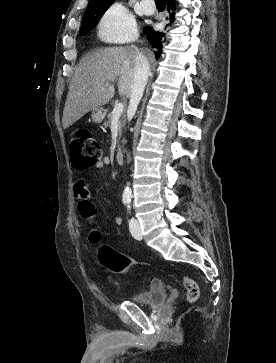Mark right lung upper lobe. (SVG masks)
Here are the masks:
<instances>
[{
    "label": "right lung upper lobe",
    "mask_w": 276,
    "mask_h": 363,
    "mask_svg": "<svg viewBox=\"0 0 276 363\" xmlns=\"http://www.w3.org/2000/svg\"><path fill=\"white\" fill-rule=\"evenodd\" d=\"M114 0H90L88 5L113 3Z\"/></svg>",
    "instance_id": "1"
}]
</instances>
